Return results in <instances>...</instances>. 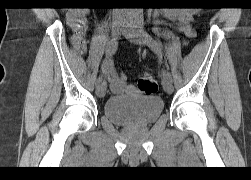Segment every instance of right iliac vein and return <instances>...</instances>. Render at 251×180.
Masks as SVG:
<instances>
[{
	"label": "right iliac vein",
	"instance_id": "1",
	"mask_svg": "<svg viewBox=\"0 0 251 180\" xmlns=\"http://www.w3.org/2000/svg\"><path fill=\"white\" fill-rule=\"evenodd\" d=\"M123 29H124V22L118 21L113 24L111 33L114 40L120 37L121 33L123 32ZM106 89H107L106 82L105 81L101 82L96 87L97 96L99 98H103L106 94Z\"/></svg>",
	"mask_w": 251,
	"mask_h": 180
}]
</instances>
